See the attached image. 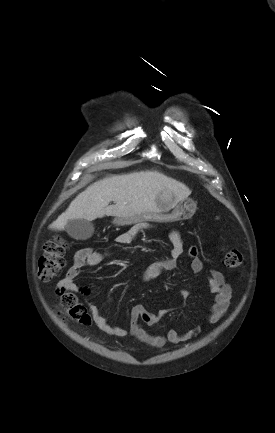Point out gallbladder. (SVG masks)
Wrapping results in <instances>:
<instances>
[{"label":"gallbladder","instance_id":"1","mask_svg":"<svg viewBox=\"0 0 275 433\" xmlns=\"http://www.w3.org/2000/svg\"><path fill=\"white\" fill-rule=\"evenodd\" d=\"M65 228L69 236L76 240H87L94 233L93 224L84 219L69 220Z\"/></svg>","mask_w":275,"mask_h":433}]
</instances>
